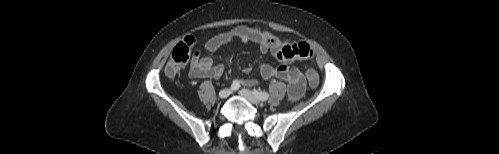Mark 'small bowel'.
Returning a JSON list of instances; mask_svg holds the SVG:
<instances>
[{"mask_svg": "<svg viewBox=\"0 0 499 154\" xmlns=\"http://www.w3.org/2000/svg\"><path fill=\"white\" fill-rule=\"evenodd\" d=\"M238 40L258 46L261 53L268 52L278 60V66L268 64L260 65V73L266 80L279 79L288 84L287 93L291 101H297L305 91L306 79L293 63L313 57L314 51L306 42H292L280 38L256 26H239L229 32L210 38L204 45V54L196 51L190 65L189 76L194 79H218L224 72L222 64H213L212 54L221 46ZM245 73L251 72V67L244 69ZM244 85H255L256 80L241 81Z\"/></svg>", "mask_w": 499, "mask_h": 154, "instance_id": "c3829d8e", "label": "small bowel"}]
</instances>
